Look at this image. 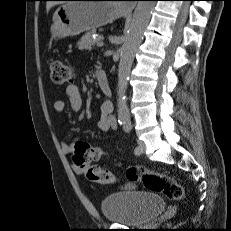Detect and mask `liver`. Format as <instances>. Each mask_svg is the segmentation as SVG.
<instances>
[{"mask_svg":"<svg viewBox=\"0 0 231 231\" xmlns=\"http://www.w3.org/2000/svg\"><path fill=\"white\" fill-rule=\"evenodd\" d=\"M55 4H56V3H54V2H49V3H47V5H46L47 11H49L50 8H51L52 6H54Z\"/></svg>","mask_w":231,"mask_h":231,"instance_id":"obj_1","label":"liver"}]
</instances>
